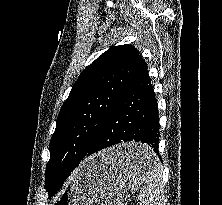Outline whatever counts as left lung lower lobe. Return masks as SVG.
<instances>
[{"label": "left lung lower lobe", "instance_id": "1", "mask_svg": "<svg viewBox=\"0 0 222 205\" xmlns=\"http://www.w3.org/2000/svg\"><path fill=\"white\" fill-rule=\"evenodd\" d=\"M159 117L157 101L151 86L146 62L142 59L133 73L128 85L122 91L105 122L99 130L89 150L83 154L68 151L58 159L56 168L63 173L62 178L49 193L52 197L77 165L86 157L113 145L136 141L148 144L152 154L146 150L126 152L121 160L131 165H147L151 162L153 151L157 154L159 142Z\"/></svg>", "mask_w": 222, "mask_h": 205}]
</instances>
